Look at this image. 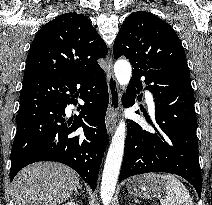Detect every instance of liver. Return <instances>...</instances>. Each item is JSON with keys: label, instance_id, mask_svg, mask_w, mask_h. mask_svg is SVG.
Returning a JSON list of instances; mask_svg holds the SVG:
<instances>
[{"label": "liver", "instance_id": "6515ba94", "mask_svg": "<svg viewBox=\"0 0 212 205\" xmlns=\"http://www.w3.org/2000/svg\"><path fill=\"white\" fill-rule=\"evenodd\" d=\"M76 172L63 164L39 162L23 168L12 182L15 205H59L77 186Z\"/></svg>", "mask_w": 212, "mask_h": 205}]
</instances>
